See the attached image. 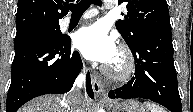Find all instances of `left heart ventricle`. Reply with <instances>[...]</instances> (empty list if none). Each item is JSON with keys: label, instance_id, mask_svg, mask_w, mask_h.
Instances as JSON below:
<instances>
[{"label": "left heart ventricle", "instance_id": "b2bd125f", "mask_svg": "<svg viewBox=\"0 0 193 112\" xmlns=\"http://www.w3.org/2000/svg\"><path fill=\"white\" fill-rule=\"evenodd\" d=\"M109 66L115 70L120 69L122 66V58L120 54L117 52L112 62L109 64Z\"/></svg>", "mask_w": 193, "mask_h": 112}]
</instances>
